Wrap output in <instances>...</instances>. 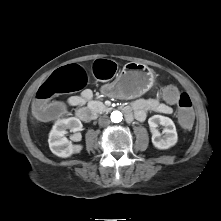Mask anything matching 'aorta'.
<instances>
[{"label": "aorta", "instance_id": "obj_1", "mask_svg": "<svg viewBox=\"0 0 221 221\" xmlns=\"http://www.w3.org/2000/svg\"><path fill=\"white\" fill-rule=\"evenodd\" d=\"M123 119L122 113L120 111H113L111 113V121L114 123H119Z\"/></svg>", "mask_w": 221, "mask_h": 221}]
</instances>
